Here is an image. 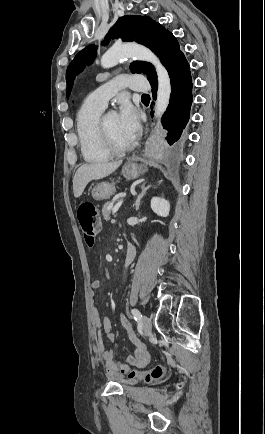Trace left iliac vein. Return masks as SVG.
<instances>
[{
    "label": "left iliac vein",
    "mask_w": 265,
    "mask_h": 434,
    "mask_svg": "<svg viewBox=\"0 0 265 434\" xmlns=\"http://www.w3.org/2000/svg\"><path fill=\"white\" fill-rule=\"evenodd\" d=\"M142 327H143V331L146 335H149L151 333L152 323H151V320L148 316H143Z\"/></svg>",
    "instance_id": "4c4485c4"
}]
</instances>
